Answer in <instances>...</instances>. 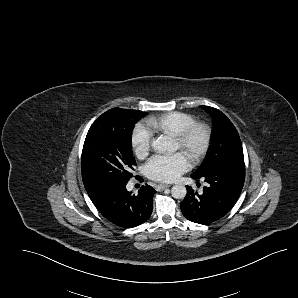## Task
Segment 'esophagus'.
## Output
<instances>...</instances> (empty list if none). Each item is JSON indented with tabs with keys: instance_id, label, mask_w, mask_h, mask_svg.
Segmentation results:
<instances>
[{
	"instance_id": "34e87169",
	"label": "esophagus",
	"mask_w": 298,
	"mask_h": 298,
	"mask_svg": "<svg viewBox=\"0 0 298 298\" xmlns=\"http://www.w3.org/2000/svg\"><path fill=\"white\" fill-rule=\"evenodd\" d=\"M168 187H169V185H167V184H157L156 185L157 190H163V189L168 188Z\"/></svg>"
}]
</instances>
